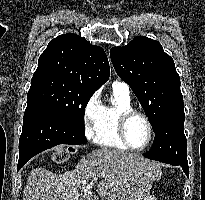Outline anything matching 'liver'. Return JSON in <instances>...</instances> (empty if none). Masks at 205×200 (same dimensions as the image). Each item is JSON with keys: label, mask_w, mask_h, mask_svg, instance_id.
Returning <instances> with one entry per match:
<instances>
[{"label": "liver", "mask_w": 205, "mask_h": 200, "mask_svg": "<svg viewBox=\"0 0 205 200\" xmlns=\"http://www.w3.org/2000/svg\"><path fill=\"white\" fill-rule=\"evenodd\" d=\"M160 176L154 162L132 153L100 148L63 174L40 167L32 169L23 200H82L79 190L89 184L97 187L104 200H141ZM99 178L103 180L98 183Z\"/></svg>", "instance_id": "1"}]
</instances>
